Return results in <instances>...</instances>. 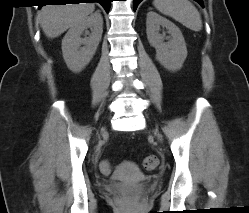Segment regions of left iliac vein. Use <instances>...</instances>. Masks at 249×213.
Masks as SVG:
<instances>
[{
    "label": "left iliac vein",
    "mask_w": 249,
    "mask_h": 213,
    "mask_svg": "<svg viewBox=\"0 0 249 213\" xmlns=\"http://www.w3.org/2000/svg\"><path fill=\"white\" fill-rule=\"evenodd\" d=\"M157 136H158V138L161 140L160 135H159V134H157Z\"/></svg>",
    "instance_id": "1"
}]
</instances>
